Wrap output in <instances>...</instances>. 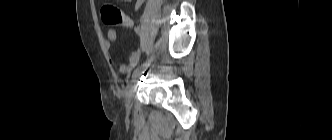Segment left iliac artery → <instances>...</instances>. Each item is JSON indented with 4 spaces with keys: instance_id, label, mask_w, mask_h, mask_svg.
<instances>
[{
    "instance_id": "left-iliac-artery-1",
    "label": "left iliac artery",
    "mask_w": 332,
    "mask_h": 140,
    "mask_svg": "<svg viewBox=\"0 0 332 140\" xmlns=\"http://www.w3.org/2000/svg\"><path fill=\"white\" fill-rule=\"evenodd\" d=\"M153 59H154V55H151V56L149 57V59H147L143 64H141L140 66H138V67L134 70L133 75L136 74L137 72H139L140 70L147 68V67L150 65V63L153 61Z\"/></svg>"
}]
</instances>
